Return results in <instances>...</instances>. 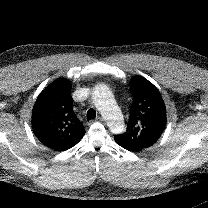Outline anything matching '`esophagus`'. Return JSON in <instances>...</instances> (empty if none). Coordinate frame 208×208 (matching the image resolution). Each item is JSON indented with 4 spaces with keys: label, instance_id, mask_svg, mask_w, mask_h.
I'll list each match as a JSON object with an SVG mask.
<instances>
[{
    "label": "esophagus",
    "instance_id": "34e87169",
    "mask_svg": "<svg viewBox=\"0 0 208 208\" xmlns=\"http://www.w3.org/2000/svg\"><path fill=\"white\" fill-rule=\"evenodd\" d=\"M96 120L99 121V122H103V121H104V118L101 117V116H98V117L96 118Z\"/></svg>",
    "mask_w": 208,
    "mask_h": 208
}]
</instances>
